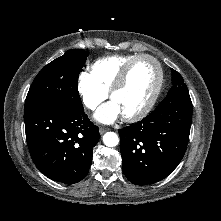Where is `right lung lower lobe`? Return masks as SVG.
I'll list each match as a JSON object with an SVG mask.
<instances>
[{"label": "right lung lower lobe", "mask_w": 221, "mask_h": 221, "mask_svg": "<svg viewBox=\"0 0 221 221\" xmlns=\"http://www.w3.org/2000/svg\"><path fill=\"white\" fill-rule=\"evenodd\" d=\"M33 162L48 178L74 184L89 172L100 134L82 109L47 105L24 113Z\"/></svg>", "instance_id": "obj_1"}]
</instances>
